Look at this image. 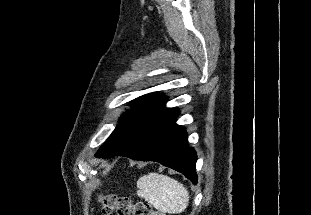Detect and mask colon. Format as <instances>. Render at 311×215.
Wrapping results in <instances>:
<instances>
[{
	"label": "colon",
	"instance_id": "obj_1",
	"mask_svg": "<svg viewBox=\"0 0 311 215\" xmlns=\"http://www.w3.org/2000/svg\"><path fill=\"white\" fill-rule=\"evenodd\" d=\"M101 212L104 215H165L144 201L133 202L129 197L114 194H101L98 197Z\"/></svg>",
	"mask_w": 311,
	"mask_h": 215
}]
</instances>
